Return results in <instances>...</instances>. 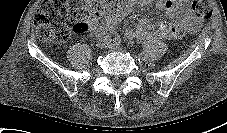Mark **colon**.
Masks as SVG:
<instances>
[{
  "label": "colon",
  "mask_w": 227,
  "mask_h": 133,
  "mask_svg": "<svg viewBox=\"0 0 227 133\" xmlns=\"http://www.w3.org/2000/svg\"><path fill=\"white\" fill-rule=\"evenodd\" d=\"M190 4L200 18H211L210 0H190ZM117 12V7L109 0H44L35 16L37 37L44 43H62L71 30H86L91 17L115 15Z\"/></svg>",
  "instance_id": "obj_1"
}]
</instances>
